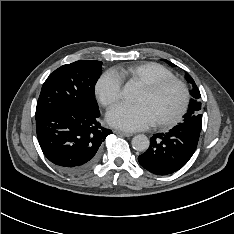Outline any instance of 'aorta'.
Returning a JSON list of instances; mask_svg holds the SVG:
<instances>
[{"mask_svg":"<svg viewBox=\"0 0 234 234\" xmlns=\"http://www.w3.org/2000/svg\"><path fill=\"white\" fill-rule=\"evenodd\" d=\"M122 93L125 99L131 100L135 95L134 87L131 84H126L124 86ZM149 145H150L149 139L143 134L136 135L132 139V147L136 151L140 152L146 151L149 148Z\"/></svg>","mask_w":234,"mask_h":234,"instance_id":"762f6f07","label":"aorta"}]
</instances>
